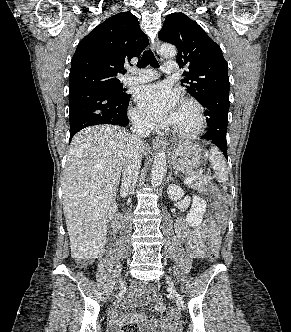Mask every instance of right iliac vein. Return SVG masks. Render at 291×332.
Returning a JSON list of instances; mask_svg holds the SVG:
<instances>
[{
    "mask_svg": "<svg viewBox=\"0 0 291 332\" xmlns=\"http://www.w3.org/2000/svg\"><path fill=\"white\" fill-rule=\"evenodd\" d=\"M123 285H124V281H121L120 287H123Z\"/></svg>",
    "mask_w": 291,
    "mask_h": 332,
    "instance_id": "obj_1",
    "label": "right iliac vein"
}]
</instances>
